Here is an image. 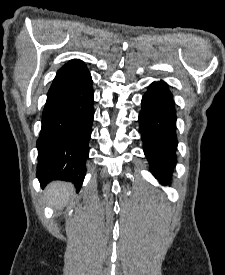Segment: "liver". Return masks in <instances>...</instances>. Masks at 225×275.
<instances>
[{"label": "liver", "instance_id": "liver-1", "mask_svg": "<svg viewBox=\"0 0 225 275\" xmlns=\"http://www.w3.org/2000/svg\"><path fill=\"white\" fill-rule=\"evenodd\" d=\"M73 193V186L69 183L53 182L46 188V196L50 205L61 209L66 205Z\"/></svg>", "mask_w": 225, "mask_h": 275}]
</instances>
